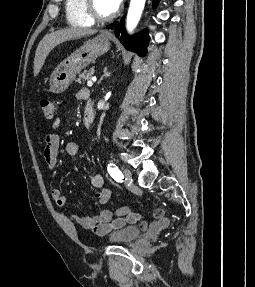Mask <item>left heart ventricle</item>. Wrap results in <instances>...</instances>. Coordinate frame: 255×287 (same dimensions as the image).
<instances>
[{
	"mask_svg": "<svg viewBox=\"0 0 255 287\" xmlns=\"http://www.w3.org/2000/svg\"><path fill=\"white\" fill-rule=\"evenodd\" d=\"M99 33H121V32H99ZM112 39H125V38H112ZM95 48H102V47H95ZM113 48H130V47H113Z\"/></svg>",
	"mask_w": 255,
	"mask_h": 287,
	"instance_id": "obj_1",
	"label": "left heart ventricle"
}]
</instances>
